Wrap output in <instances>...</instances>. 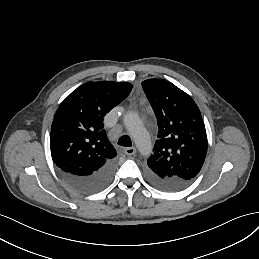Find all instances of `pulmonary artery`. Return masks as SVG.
Masks as SVG:
<instances>
[{
	"mask_svg": "<svg viewBox=\"0 0 259 259\" xmlns=\"http://www.w3.org/2000/svg\"><path fill=\"white\" fill-rule=\"evenodd\" d=\"M125 128L128 132V134L130 135V137L134 140L137 139V126L135 124L132 123V121L130 120V118H127L125 120Z\"/></svg>",
	"mask_w": 259,
	"mask_h": 259,
	"instance_id": "e3ab8cb5",
	"label": "pulmonary artery"
}]
</instances>
